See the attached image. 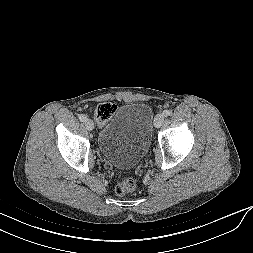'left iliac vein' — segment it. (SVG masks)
<instances>
[{"mask_svg": "<svg viewBox=\"0 0 253 253\" xmlns=\"http://www.w3.org/2000/svg\"><path fill=\"white\" fill-rule=\"evenodd\" d=\"M164 121V116L163 114H157L156 117H155V120H154V126L156 128H160L162 123Z\"/></svg>", "mask_w": 253, "mask_h": 253, "instance_id": "4c4485c4", "label": "left iliac vein"}]
</instances>
